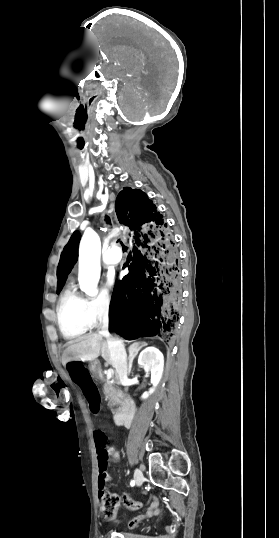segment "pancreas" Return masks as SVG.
Wrapping results in <instances>:
<instances>
[{
    "instance_id": "pancreas-1",
    "label": "pancreas",
    "mask_w": 279,
    "mask_h": 538,
    "mask_svg": "<svg viewBox=\"0 0 279 538\" xmlns=\"http://www.w3.org/2000/svg\"><path fill=\"white\" fill-rule=\"evenodd\" d=\"M101 382H104L103 384V394L105 396V400L108 402V406L112 408V406H116L118 402H120V394L119 390L115 388L114 384L112 382H109V380H105L104 376L101 378Z\"/></svg>"
}]
</instances>
